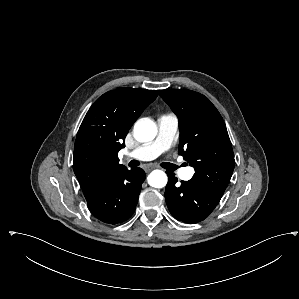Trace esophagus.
I'll return each mask as SVG.
<instances>
[{"label": "esophagus", "mask_w": 299, "mask_h": 299, "mask_svg": "<svg viewBox=\"0 0 299 299\" xmlns=\"http://www.w3.org/2000/svg\"><path fill=\"white\" fill-rule=\"evenodd\" d=\"M154 168H155V166H151V165H145L143 167V169H144L145 172H150Z\"/></svg>", "instance_id": "1"}]
</instances>
